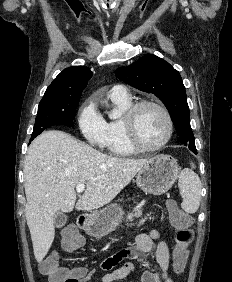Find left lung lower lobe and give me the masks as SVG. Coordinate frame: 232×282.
<instances>
[{"mask_svg": "<svg viewBox=\"0 0 232 282\" xmlns=\"http://www.w3.org/2000/svg\"><path fill=\"white\" fill-rule=\"evenodd\" d=\"M189 149L194 152L195 154H197V150H196V147L194 145H191V146H188Z\"/></svg>", "mask_w": 232, "mask_h": 282, "instance_id": "left-lung-lower-lobe-1", "label": "left lung lower lobe"}]
</instances>
